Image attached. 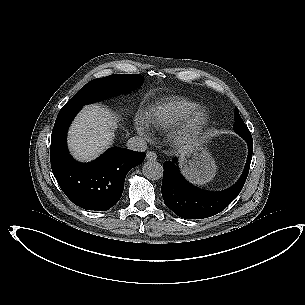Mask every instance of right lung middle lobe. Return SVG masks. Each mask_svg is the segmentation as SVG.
I'll return each mask as SVG.
<instances>
[{"mask_svg": "<svg viewBox=\"0 0 305 305\" xmlns=\"http://www.w3.org/2000/svg\"><path fill=\"white\" fill-rule=\"evenodd\" d=\"M141 75H111L95 79L83 86L66 104L65 109L79 110L83 105L107 99L117 93L139 87Z\"/></svg>", "mask_w": 305, "mask_h": 305, "instance_id": "dd1d6c3e", "label": "right lung middle lobe"}]
</instances>
